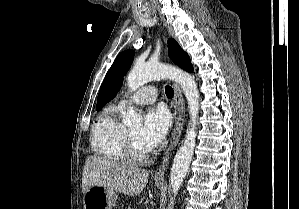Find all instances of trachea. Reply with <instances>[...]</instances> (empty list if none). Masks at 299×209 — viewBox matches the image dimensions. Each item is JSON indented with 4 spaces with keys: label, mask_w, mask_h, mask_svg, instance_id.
Segmentation results:
<instances>
[{
    "label": "trachea",
    "mask_w": 299,
    "mask_h": 209,
    "mask_svg": "<svg viewBox=\"0 0 299 209\" xmlns=\"http://www.w3.org/2000/svg\"><path fill=\"white\" fill-rule=\"evenodd\" d=\"M165 93L168 98H172L174 95V91H173L172 87H170V86L165 87Z\"/></svg>",
    "instance_id": "3493384b"
}]
</instances>
